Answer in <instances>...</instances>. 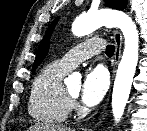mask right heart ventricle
I'll list each match as a JSON object with an SVG mask.
<instances>
[{
    "label": "right heart ventricle",
    "instance_id": "right-heart-ventricle-1",
    "mask_svg": "<svg viewBox=\"0 0 147 131\" xmlns=\"http://www.w3.org/2000/svg\"><path fill=\"white\" fill-rule=\"evenodd\" d=\"M68 71L55 61L44 66L36 75L28 102V112L34 120L49 124L66 120L71 101L65 94L62 79Z\"/></svg>",
    "mask_w": 147,
    "mask_h": 131
}]
</instances>
